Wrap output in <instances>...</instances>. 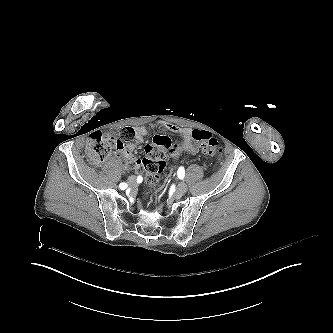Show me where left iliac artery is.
Masks as SVG:
<instances>
[{"instance_id": "left-iliac-artery-1", "label": "left iliac artery", "mask_w": 333, "mask_h": 333, "mask_svg": "<svg viewBox=\"0 0 333 333\" xmlns=\"http://www.w3.org/2000/svg\"><path fill=\"white\" fill-rule=\"evenodd\" d=\"M184 174H185L184 168H183V167H180V168L178 169V172H177L178 177H179L180 179H183L184 176H185Z\"/></svg>"}]
</instances>
